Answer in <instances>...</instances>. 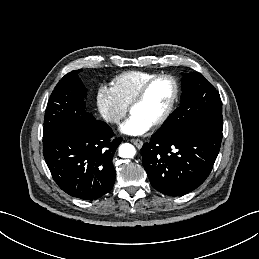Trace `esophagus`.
<instances>
[{"instance_id": "1", "label": "esophagus", "mask_w": 259, "mask_h": 259, "mask_svg": "<svg viewBox=\"0 0 259 259\" xmlns=\"http://www.w3.org/2000/svg\"><path fill=\"white\" fill-rule=\"evenodd\" d=\"M131 142L140 149L143 146V141L140 139H131Z\"/></svg>"}]
</instances>
